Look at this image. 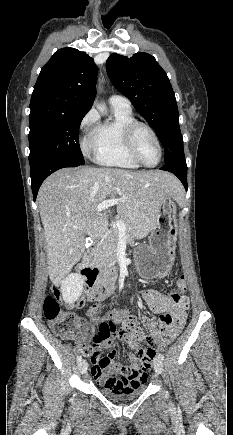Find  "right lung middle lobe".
<instances>
[{
	"label": "right lung middle lobe",
	"instance_id": "obj_1",
	"mask_svg": "<svg viewBox=\"0 0 233 435\" xmlns=\"http://www.w3.org/2000/svg\"><path fill=\"white\" fill-rule=\"evenodd\" d=\"M85 114H42L29 117L30 165L47 158H60L83 165L79 127Z\"/></svg>",
	"mask_w": 233,
	"mask_h": 435
}]
</instances>
